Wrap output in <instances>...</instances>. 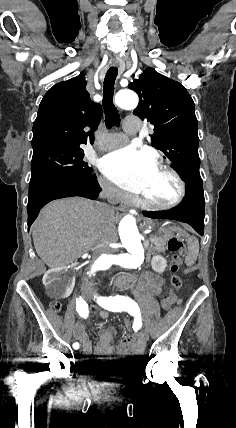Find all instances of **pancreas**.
Here are the masks:
<instances>
[{
  "instance_id": "pancreas-1",
  "label": "pancreas",
  "mask_w": 236,
  "mask_h": 428,
  "mask_svg": "<svg viewBox=\"0 0 236 428\" xmlns=\"http://www.w3.org/2000/svg\"><path fill=\"white\" fill-rule=\"evenodd\" d=\"M151 238L150 254H154V252H165V250H167L166 240H164V238H157V236H151Z\"/></svg>"
}]
</instances>
